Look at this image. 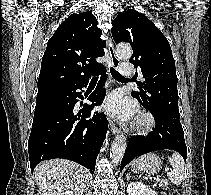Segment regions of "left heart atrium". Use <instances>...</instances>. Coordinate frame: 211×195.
<instances>
[{"mask_svg": "<svg viewBox=\"0 0 211 195\" xmlns=\"http://www.w3.org/2000/svg\"><path fill=\"white\" fill-rule=\"evenodd\" d=\"M104 108L113 117L126 121L132 118L135 104L131 100L125 99L120 93L114 92L107 97Z\"/></svg>", "mask_w": 211, "mask_h": 195, "instance_id": "left-heart-atrium-1", "label": "left heart atrium"}]
</instances>
